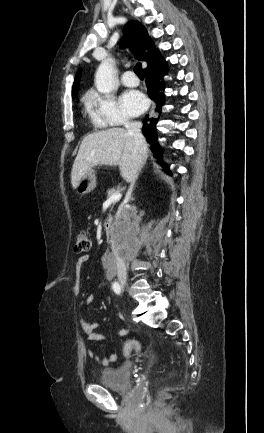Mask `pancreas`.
Wrapping results in <instances>:
<instances>
[{"instance_id": "obj_1", "label": "pancreas", "mask_w": 264, "mask_h": 433, "mask_svg": "<svg viewBox=\"0 0 264 433\" xmlns=\"http://www.w3.org/2000/svg\"><path fill=\"white\" fill-rule=\"evenodd\" d=\"M120 188H111L107 190V197H110L113 193L119 192Z\"/></svg>"}]
</instances>
